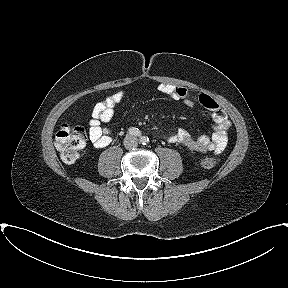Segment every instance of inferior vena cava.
<instances>
[{
    "label": "inferior vena cava",
    "mask_w": 288,
    "mask_h": 288,
    "mask_svg": "<svg viewBox=\"0 0 288 288\" xmlns=\"http://www.w3.org/2000/svg\"><path fill=\"white\" fill-rule=\"evenodd\" d=\"M124 145L127 149L135 148L138 145V140L134 136H126V138L124 139Z\"/></svg>",
    "instance_id": "inferior-vena-cava-1"
}]
</instances>
